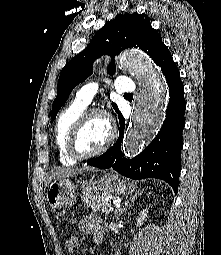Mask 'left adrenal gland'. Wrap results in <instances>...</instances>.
Returning a JSON list of instances; mask_svg holds the SVG:
<instances>
[{"label":"left adrenal gland","mask_w":221,"mask_h":255,"mask_svg":"<svg viewBox=\"0 0 221 255\" xmlns=\"http://www.w3.org/2000/svg\"><path fill=\"white\" fill-rule=\"evenodd\" d=\"M142 191L141 192H138V194H135L133 196H131L130 198H128L124 205L120 206L116 212H115V218L116 220L119 219V217L121 216V214L123 213H126L127 212V209L131 206V204H133L135 202V200H137V198L141 195Z\"/></svg>","instance_id":"1"}]
</instances>
